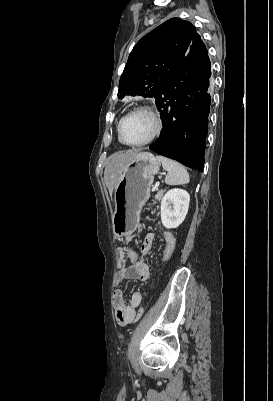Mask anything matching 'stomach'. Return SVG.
Returning a JSON list of instances; mask_svg holds the SVG:
<instances>
[{
    "instance_id": "obj_1",
    "label": "stomach",
    "mask_w": 273,
    "mask_h": 401,
    "mask_svg": "<svg viewBox=\"0 0 273 401\" xmlns=\"http://www.w3.org/2000/svg\"><path fill=\"white\" fill-rule=\"evenodd\" d=\"M159 166L160 162L152 152H141L138 158L122 168L114 188L115 211L112 215L113 233L118 239L136 231Z\"/></svg>"
}]
</instances>
